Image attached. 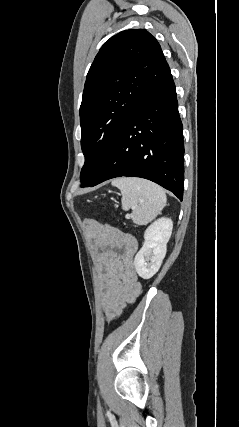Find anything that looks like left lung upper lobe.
<instances>
[{
  "instance_id": "left-lung-upper-lobe-1",
  "label": "left lung upper lobe",
  "mask_w": 239,
  "mask_h": 427,
  "mask_svg": "<svg viewBox=\"0 0 239 427\" xmlns=\"http://www.w3.org/2000/svg\"><path fill=\"white\" fill-rule=\"evenodd\" d=\"M169 73L159 43L146 30H125L104 43L88 71L80 106L81 187L93 182L129 117Z\"/></svg>"
}]
</instances>
